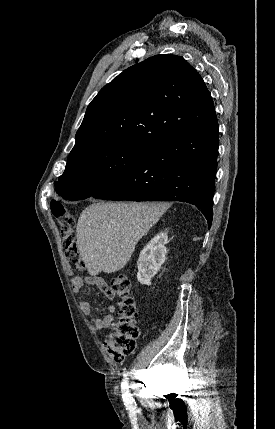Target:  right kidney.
<instances>
[{"label": "right kidney", "mask_w": 275, "mask_h": 429, "mask_svg": "<svg viewBox=\"0 0 275 429\" xmlns=\"http://www.w3.org/2000/svg\"><path fill=\"white\" fill-rule=\"evenodd\" d=\"M167 240V233L160 232L140 252L137 279L141 284L150 285L151 279L160 270L167 253Z\"/></svg>", "instance_id": "ca27d5eb"}]
</instances>
